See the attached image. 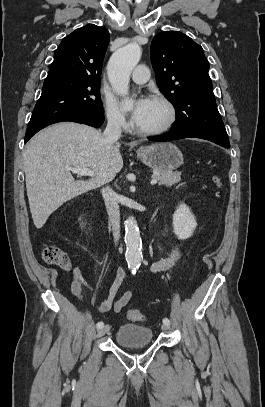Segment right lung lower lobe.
I'll use <instances>...</instances> for the list:
<instances>
[{"label":"right lung lower lobe","instance_id":"right-lung-lower-lobe-1","mask_svg":"<svg viewBox=\"0 0 265 407\" xmlns=\"http://www.w3.org/2000/svg\"><path fill=\"white\" fill-rule=\"evenodd\" d=\"M63 121L78 122V123H83V124L98 128L103 124L104 116H103V114L94 113V112H80V113L66 115V116L60 117L56 120H53L49 123H46L34 130L26 131L25 142H27L35 133H37L39 130L43 129L44 127L51 125L53 123L63 122Z\"/></svg>","mask_w":265,"mask_h":407}]
</instances>
